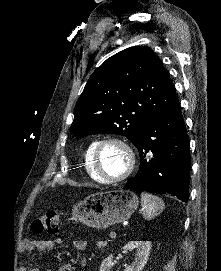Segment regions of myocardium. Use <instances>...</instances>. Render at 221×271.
Masks as SVG:
<instances>
[{"label": "myocardium", "mask_w": 221, "mask_h": 271, "mask_svg": "<svg viewBox=\"0 0 221 271\" xmlns=\"http://www.w3.org/2000/svg\"><path fill=\"white\" fill-rule=\"evenodd\" d=\"M95 140H98L96 145H90V147H93V156H91V159L93 160V167L97 175L106 177V172H103V165L100 160V150H104L105 147H114V150H123L121 153L125 155L122 157V164H126V171L117 176L104 178V183L102 184L123 183V178L129 177L136 165L135 158H132V153H135L136 150H128V143L124 142V140L128 139L117 134L105 135V137L96 138Z\"/></svg>", "instance_id": "1"}]
</instances>
